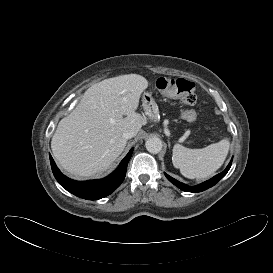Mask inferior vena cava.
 <instances>
[{"mask_svg":"<svg viewBox=\"0 0 273 273\" xmlns=\"http://www.w3.org/2000/svg\"><path fill=\"white\" fill-rule=\"evenodd\" d=\"M135 136V132L133 130H126L123 132L122 137L124 139H131Z\"/></svg>","mask_w":273,"mask_h":273,"instance_id":"obj_1","label":"inferior vena cava"}]
</instances>
